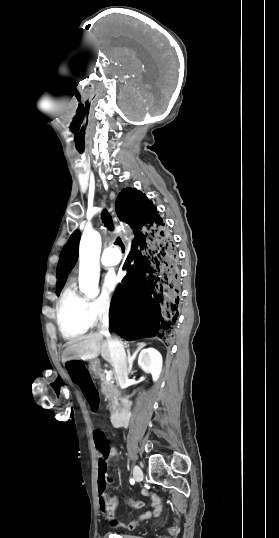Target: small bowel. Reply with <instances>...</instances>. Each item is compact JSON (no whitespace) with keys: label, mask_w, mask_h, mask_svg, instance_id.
I'll use <instances>...</instances> for the list:
<instances>
[{"label":"small bowel","mask_w":279,"mask_h":538,"mask_svg":"<svg viewBox=\"0 0 279 538\" xmlns=\"http://www.w3.org/2000/svg\"><path fill=\"white\" fill-rule=\"evenodd\" d=\"M116 456H117L116 451L114 449H111L110 457H116ZM143 495L147 496L148 492L146 490H143ZM125 502H126V504L128 506H130L133 509H141L145 505L143 501H134V500H131L129 498H126ZM160 510H161V502H160V500H159V498L157 496H153L152 497L151 509L149 511H147L146 513H144V514L135 516L127 524L126 528L129 529V530L134 529L142 520L148 519V518H150L152 516H157L160 513ZM109 522L114 526L118 525L117 521L115 520V517L109 519Z\"/></svg>","instance_id":"obj_1"}]
</instances>
